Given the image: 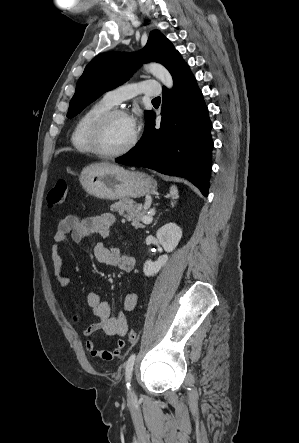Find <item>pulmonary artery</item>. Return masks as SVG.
<instances>
[{"instance_id":"e3ab8cb5","label":"pulmonary artery","mask_w":299,"mask_h":443,"mask_svg":"<svg viewBox=\"0 0 299 443\" xmlns=\"http://www.w3.org/2000/svg\"><path fill=\"white\" fill-rule=\"evenodd\" d=\"M161 93L159 84L154 80H145L139 83L124 84L105 93L104 99L111 105L130 99L138 94L156 97Z\"/></svg>"}]
</instances>
